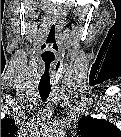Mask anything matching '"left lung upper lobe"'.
Listing matches in <instances>:
<instances>
[{"label":"left lung upper lobe","mask_w":121,"mask_h":137,"mask_svg":"<svg viewBox=\"0 0 121 137\" xmlns=\"http://www.w3.org/2000/svg\"><path fill=\"white\" fill-rule=\"evenodd\" d=\"M78 132L84 137H114L121 133L112 123L91 117H84L79 121Z\"/></svg>","instance_id":"left-lung-upper-lobe-1"}]
</instances>
